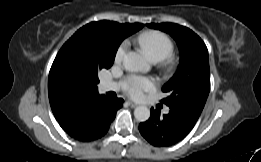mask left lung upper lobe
I'll use <instances>...</instances> for the list:
<instances>
[{
    "label": "left lung upper lobe",
    "instance_id": "left-lung-upper-lobe-1",
    "mask_svg": "<svg viewBox=\"0 0 261 162\" xmlns=\"http://www.w3.org/2000/svg\"><path fill=\"white\" fill-rule=\"evenodd\" d=\"M170 34L180 50L177 73L163 86L169 107L184 104L201 113L210 91L208 50L202 39L187 27L174 23L146 24Z\"/></svg>",
    "mask_w": 261,
    "mask_h": 162
}]
</instances>
